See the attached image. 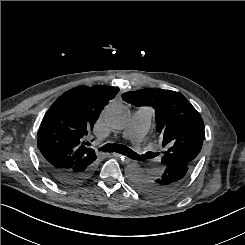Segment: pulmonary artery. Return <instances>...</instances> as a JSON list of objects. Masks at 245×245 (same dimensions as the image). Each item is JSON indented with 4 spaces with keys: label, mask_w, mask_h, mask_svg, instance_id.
Instances as JSON below:
<instances>
[{
    "label": "pulmonary artery",
    "mask_w": 245,
    "mask_h": 245,
    "mask_svg": "<svg viewBox=\"0 0 245 245\" xmlns=\"http://www.w3.org/2000/svg\"><path fill=\"white\" fill-rule=\"evenodd\" d=\"M153 115L154 112L149 107L137 109L123 134L124 138L132 141L137 146L149 129Z\"/></svg>",
    "instance_id": "1"
}]
</instances>
